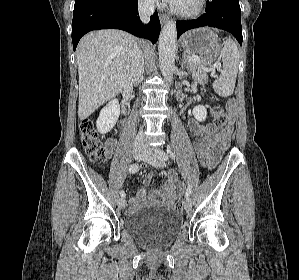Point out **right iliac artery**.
I'll return each instance as SVG.
<instances>
[{
    "instance_id": "1",
    "label": "right iliac artery",
    "mask_w": 299,
    "mask_h": 280,
    "mask_svg": "<svg viewBox=\"0 0 299 280\" xmlns=\"http://www.w3.org/2000/svg\"><path fill=\"white\" fill-rule=\"evenodd\" d=\"M139 170V165L138 164H132L130 167H129V172L130 173H135ZM120 195L121 197H125L126 194L124 191H120Z\"/></svg>"
}]
</instances>
